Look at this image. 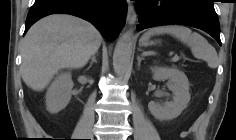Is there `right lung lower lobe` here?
Masks as SVG:
<instances>
[{"label":"right lung lower lobe","instance_id":"1","mask_svg":"<svg viewBox=\"0 0 236 140\" xmlns=\"http://www.w3.org/2000/svg\"><path fill=\"white\" fill-rule=\"evenodd\" d=\"M55 13L81 17L112 41L124 27L127 4L124 0H36L27 15L25 33L39 19Z\"/></svg>","mask_w":236,"mask_h":140}]
</instances>
